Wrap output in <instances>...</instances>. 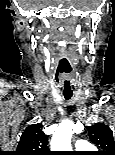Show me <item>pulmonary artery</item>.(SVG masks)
Segmentation results:
<instances>
[{"label": "pulmonary artery", "mask_w": 115, "mask_h": 155, "mask_svg": "<svg viewBox=\"0 0 115 155\" xmlns=\"http://www.w3.org/2000/svg\"><path fill=\"white\" fill-rule=\"evenodd\" d=\"M75 147L78 150H88V149H92V146L89 142L85 141V140H77L75 142Z\"/></svg>", "instance_id": "pulmonary-artery-1"}]
</instances>
